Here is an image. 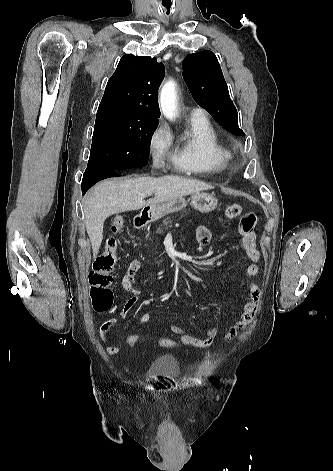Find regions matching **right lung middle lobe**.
<instances>
[{
	"mask_svg": "<svg viewBox=\"0 0 333 471\" xmlns=\"http://www.w3.org/2000/svg\"><path fill=\"white\" fill-rule=\"evenodd\" d=\"M158 123L119 116L97 117L86 170L122 171L146 166Z\"/></svg>",
	"mask_w": 333,
	"mask_h": 471,
	"instance_id": "dd1d6c3e",
	"label": "right lung middle lobe"
}]
</instances>
